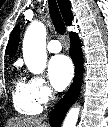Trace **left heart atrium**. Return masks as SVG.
Wrapping results in <instances>:
<instances>
[{
	"instance_id": "39dd6f15",
	"label": "left heart atrium",
	"mask_w": 108,
	"mask_h": 127,
	"mask_svg": "<svg viewBox=\"0 0 108 127\" xmlns=\"http://www.w3.org/2000/svg\"><path fill=\"white\" fill-rule=\"evenodd\" d=\"M73 73V65L68 57L58 55L50 60L48 75L55 89L59 91L65 89L72 80Z\"/></svg>"
}]
</instances>
